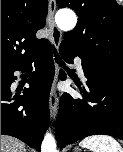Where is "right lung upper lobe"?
Masks as SVG:
<instances>
[{"label": "right lung upper lobe", "instance_id": "obj_1", "mask_svg": "<svg viewBox=\"0 0 123 152\" xmlns=\"http://www.w3.org/2000/svg\"><path fill=\"white\" fill-rule=\"evenodd\" d=\"M47 9L48 0H1V66L20 65L46 44L36 32Z\"/></svg>", "mask_w": 123, "mask_h": 152}]
</instances>
